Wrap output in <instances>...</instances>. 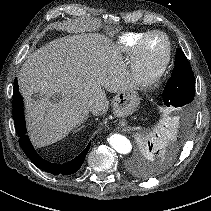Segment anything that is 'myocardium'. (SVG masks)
I'll list each match as a JSON object with an SVG mask.
<instances>
[{"label": "myocardium", "mask_w": 211, "mask_h": 211, "mask_svg": "<svg viewBox=\"0 0 211 211\" xmlns=\"http://www.w3.org/2000/svg\"><path fill=\"white\" fill-rule=\"evenodd\" d=\"M152 36H161L166 44L165 55L160 64L149 72H145L142 65V50L146 41ZM172 54L171 42L168 36L161 31H150L147 32L137 42L131 64V78L133 84L142 89H149L153 87L164 75L167 70Z\"/></svg>", "instance_id": "obj_1"}]
</instances>
